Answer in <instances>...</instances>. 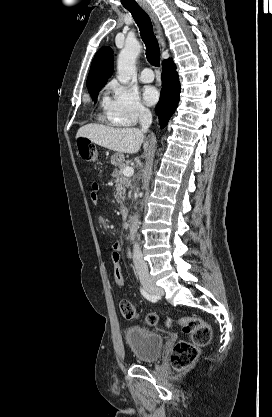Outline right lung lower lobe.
I'll return each instance as SVG.
<instances>
[{"instance_id": "1", "label": "right lung lower lobe", "mask_w": 272, "mask_h": 417, "mask_svg": "<svg viewBox=\"0 0 272 417\" xmlns=\"http://www.w3.org/2000/svg\"><path fill=\"white\" fill-rule=\"evenodd\" d=\"M162 70L163 87L156 106V114L159 116L161 128H164L178 105L180 82L176 66L171 59L163 61Z\"/></svg>"}]
</instances>
